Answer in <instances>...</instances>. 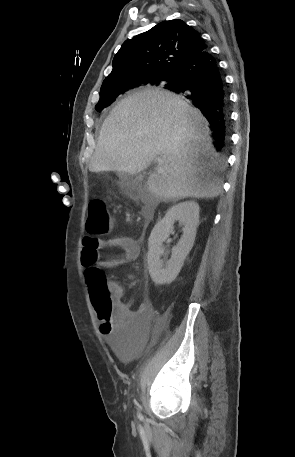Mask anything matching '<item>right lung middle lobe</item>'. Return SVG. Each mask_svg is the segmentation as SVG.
I'll use <instances>...</instances> for the list:
<instances>
[{
    "mask_svg": "<svg viewBox=\"0 0 295 457\" xmlns=\"http://www.w3.org/2000/svg\"><path fill=\"white\" fill-rule=\"evenodd\" d=\"M173 81H174V77L169 76V77L151 79L150 81H147L140 85L151 84V85H157V86L159 85V86L166 88ZM140 85H138V86H140ZM125 92H127L125 90V88L106 89V90L100 91V100L97 103V105L95 106V109L97 111L103 110L105 107L111 105L118 96L124 94Z\"/></svg>",
    "mask_w": 295,
    "mask_h": 457,
    "instance_id": "dd1d6c3e",
    "label": "right lung middle lobe"
}]
</instances>
